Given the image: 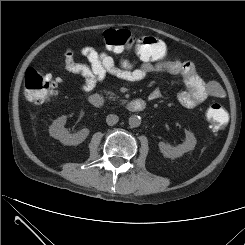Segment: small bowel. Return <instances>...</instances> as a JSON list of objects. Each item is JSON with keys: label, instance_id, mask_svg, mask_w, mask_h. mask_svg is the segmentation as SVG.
Listing matches in <instances>:
<instances>
[{"label": "small bowel", "instance_id": "obj_1", "mask_svg": "<svg viewBox=\"0 0 245 245\" xmlns=\"http://www.w3.org/2000/svg\"><path fill=\"white\" fill-rule=\"evenodd\" d=\"M80 53L88 60V64L76 62L73 50L67 48L61 65L68 73L84 78L80 87L83 93L94 90L107 75L115 76L126 82H139L152 73L167 72L183 79L186 89L178 93L177 100L184 107L193 108L209 97L223 96L221 86L215 82L204 81L198 74L195 65L190 61L173 58L158 63L136 64L129 59H121L116 64L110 55L99 52L93 47H82ZM159 96L160 92L157 90L150 94L151 99H157Z\"/></svg>", "mask_w": 245, "mask_h": 245}]
</instances>
